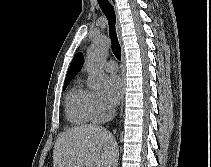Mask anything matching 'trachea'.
I'll return each instance as SVG.
<instances>
[{
  "label": "trachea",
  "instance_id": "obj_1",
  "mask_svg": "<svg viewBox=\"0 0 211 167\" xmlns=\"http://www.w3.org/2000/svg\"><path fill=\"white\" fill-rule=\"evenodd\" d=\"M98 4L105 14L108 24H109V35L111 38L112 43V51L116 58L118 60H121V47L118 42L117 34H116V28H115V22H116V15L113 9V6L109 2V0H97Z\"/></svg>",
  "mask_w": 211,
  "mask_h": 167
}]
</instances>
